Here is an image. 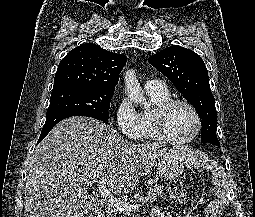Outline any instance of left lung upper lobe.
I'll return each instance as SVG.
<instances>
[{
	"instance_id": "obj_1",
	"label": "left lung upper lobe",
	"mask_w": 255,
	"mask_h": 217,
	"mask_svg": "<svg viewBox=\"0 0 255 217\" xmlns=\"http://www.w3.org/2000/svg\"><path fill=\"white\" fill-rule=\"evenodd\" d=\"M148 61L194 105L203 124L201 142L220 146L216 135L217 112L214 96L202 58L190 49L170 46L149 57Z\"/></svg>"
}]
</instances>
